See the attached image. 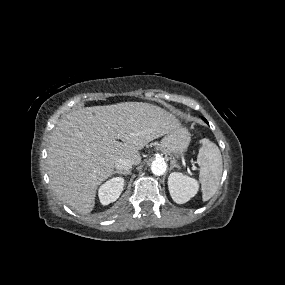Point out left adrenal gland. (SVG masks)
I'll return each instance as SVG.
<instances>
[{"label":"left adrenal gland","instance_id":"1","mask_svg":"<svg viewBox=\"0 0 285 285\" xmlns=\"http://www.w3.org/2000/svg\"><path fill=\"white\" fill-rule=\"evenodd\" d=\"M174 167L180 168V166L176 163V160L173 159V160L171 161L170 168L172 169V168H174Z\"/></svg>","mask_w":285,"mask_h":285}]
</instances>
